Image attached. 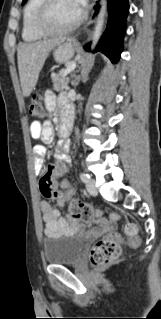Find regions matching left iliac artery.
<instances>
[{
  "label": "left iliac artery",
  "mask_w": 161,
  "mask_h": 319,
  "mask_svg": "<svg viewBox=\"0 0 161 319\" xmlns=\"http://www.w3.org/2000/svg\"><path fill=\"white\" fill-rule=\"evenodd\" d=\"M80 178L81 180L84 182V183H87L89 182L90 180V176L88 174H85V173H80Z\"/></svg>",
  "instance_id": "44dca946"
}]
</instances>
